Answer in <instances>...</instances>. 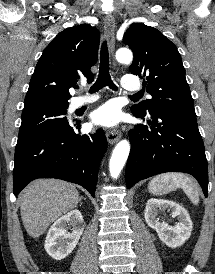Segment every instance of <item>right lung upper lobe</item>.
Returning <instances> with one entry per match:
<instances>
[{
    "label": "right lung upper lobe",
    "mask_w": 215,
    "mask_h": 274,
    "mask_svg": "<svg viewBox=\"0 0 215 274\" xmlns=\"http://www.w3.org/2000/svg\"><path fill=\"white\" fill-rule=\"evenodd\" d=\"M99 31L81 24L60 32L44 49L25 97L24 109L45 104L68 105L69 88L81 78L93 80L90 68L97 61Z\"/></svg>",
    "instance_id": "1"
}]
</instances>
